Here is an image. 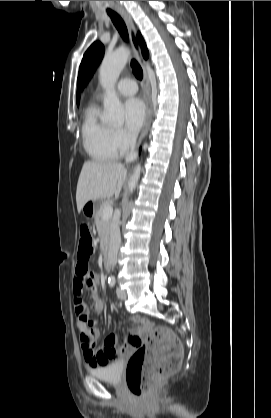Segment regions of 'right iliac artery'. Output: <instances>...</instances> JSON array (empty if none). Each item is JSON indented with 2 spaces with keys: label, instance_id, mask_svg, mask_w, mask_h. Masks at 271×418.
<instances>
[{
  "label": "right iliac artery",
  "instance_id": "obj_1",
  "mask_svg": "<svg viewBox=\"0 0 271 418\" xmlns=\"http://www.w3.org/2000/svg\"><path fill=\"white\" fill-rule=\"evenodd\" d=\"M108 283L111 287H113L115 285V281L114 280H108Z\"/></svg>",
  "mask_w": 271,
  "mask_h": 418
}]
</instances>
